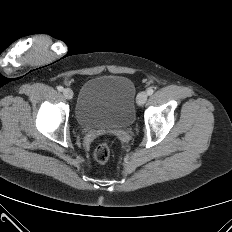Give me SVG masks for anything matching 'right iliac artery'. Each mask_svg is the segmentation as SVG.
<instances>
[{"instance_id":"1","label":"right iliac artery","mask_w":232,"mask_h":232,"mask_svg":"<svg viewBox=\"0 0 232 232\" xmlns=\"http://www.w3.org/2000/svg\"><path fill=\"white\" fill-rule=\"evenodd\" d=\"M57 90L60 91V92H62L63 91V87L62 86H58Z\"/></svg>"}]
</instances>
